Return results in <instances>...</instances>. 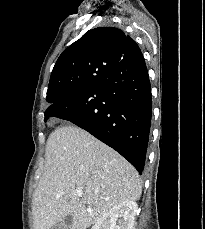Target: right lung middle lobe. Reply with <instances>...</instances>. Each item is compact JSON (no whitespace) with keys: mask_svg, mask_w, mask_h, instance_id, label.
Listing matches in <instances>:
<instances>
[{"mask_svg":"<svg viewBox=\"0 0 205 229\" xmlns=\"http://www.w3.org/2000/svg\"><path fill=\"white\" fill-rule=\"evenodd\" d=\"M107 77V75L97 76L96 78H94V83L105 80Z\"/></svg>","mask_w":205,"mask_h":229,"instance_id":"right-lung-middle-lobe-1","label":"right lung middle lobe"}]
</instances>
